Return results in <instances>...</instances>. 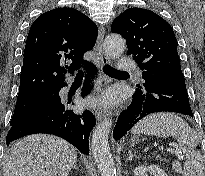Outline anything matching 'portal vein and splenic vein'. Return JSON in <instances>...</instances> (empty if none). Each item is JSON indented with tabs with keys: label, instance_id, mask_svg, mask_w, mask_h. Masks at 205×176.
<instances>
[{
	"label": "portal vein and splenic vein",
	"instance_id": "obj_1",
	"mask_svg": "<svg viewBox=\"0 0 205 176\" xmlns=\"http://www.w3.org/2000/svg\"><path fill=\"white\" fill-rule=\"evenodd\" d=\"M167 151H169L172 154H176L179 157H182V155L180 154V152L177 149L174 148H167Z\"/></svg>",
	"mask_w": 205,
	"mask_h": 176
}]
</instances>
